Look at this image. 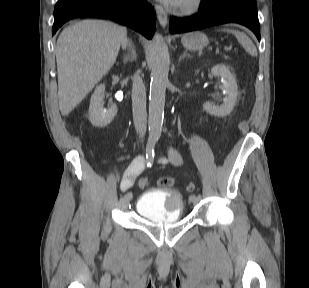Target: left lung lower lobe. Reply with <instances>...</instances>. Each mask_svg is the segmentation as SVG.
<instances>
[{
    "mask_svg": "<svg viewBox=\"0 0 309 288\" xmlns=\"http://www.w3.org/2000/svg\"><path fill=\"white\" fill-rule=\"evenodd\" d=\"M201 10L190 18L172 17L169 30L182 33L235 22L251 29L260 41V25L255 0H202Z\"/></svg>",
    "mask_w": 309,
    "mask_h": 288,
    "instance_id": "obj_1",
    "label": "left lung lower lobe"
}]
</instances>
